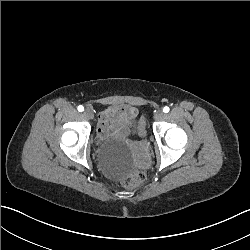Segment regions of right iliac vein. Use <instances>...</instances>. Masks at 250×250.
<instances>
[{
  "label": "right iliac vein",
  "mask_w": 250,
  "mask_h": 250,
  "mask_svg": "<svg viewBox=\"0 0 250 250\" xmlns=\"http://www.w3.org/2000/svg\"><path fill=\"white\" fill-rule=\"evenodd\" d=\"M83 116L85 118H88V119H92L93 118V112L89 109H86L84 112H83Z\"/></svg>",
  "instance_id": "right-iliac-vein-1"
}]
</instances>
